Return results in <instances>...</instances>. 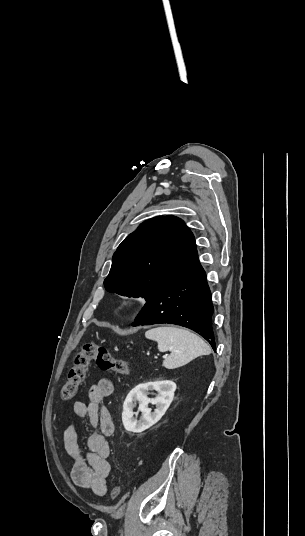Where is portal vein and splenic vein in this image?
Returning a JSON list of instances; mask_svg holds the SVG:
<instances>
[{
	"instance_id": "obj_1",
	"label": "portal vein and splenic vein",
	"mask_w": 305,
	"mask_h": 536,
	"mask_svg": "<svg viewBox=\"0 0 305 536\" xmlns=\"http://www.w3.org/2000/svg\"><path fill=\"white\" fill-rule=\"evenodd\" d=\"M162 358H167V356H162Z\"/></svg>"
}]
</instances>
